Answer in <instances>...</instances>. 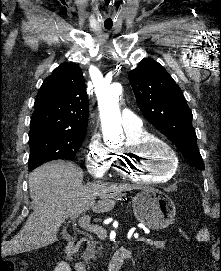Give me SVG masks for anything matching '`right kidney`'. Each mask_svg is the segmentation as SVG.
Here are the masks:
<instances>
[{"mask_svg": "<svg viewBox=\"0 0 221 271\" xmlns=\"http://www.w3.org/2000/svg\"><path fill=\"white\" fill-rule=\"evenodd\" d=\"M54 271H71V267L67 261H59L58 265H56Z\"/></svg>", "mask_w": 221, "mask_h": 271, "instance_id": "ca27d5eb", "label": "right kidney"}]
</instances>
